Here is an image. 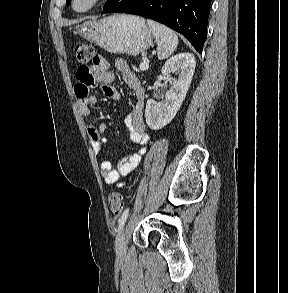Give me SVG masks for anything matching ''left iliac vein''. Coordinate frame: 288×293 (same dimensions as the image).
<instances>
[{
    "instance_id": "obj_1",
    "label": "left iliac vein",
    "mask_w": 288,
    "mask_h": 293,
    "mask_svg": "<svg viewBox=\"0 0 288 293\" xmlns=\"http://www.w3.org/2000/svg\"><path fill=\"white\" fill-rule=\"evenodd\" d=\"M115 250L118 257H122L126 253V236L124 229H122L116 237Z\"/></svg>"
}]
</instances>
